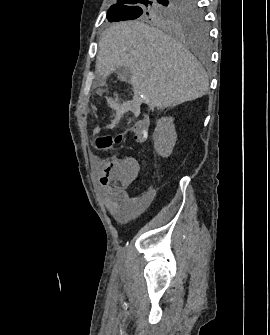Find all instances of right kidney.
<instances>
[{"instance_id": "right-kidney-1", "label": "right kidney", "mask_w": 270, "mask_h": 335, "mask_svg": "<svg viewBox=\"0 0 270 335\" xmlns=\"http://www.w3.org/2000/svg\"><path fill=\"white\" fill-rule=\"evenodd\" d=\"M154 148L162 158H168L177 142V134L173 124V118H160L156 122V128L152 136Z\"/></svg>"}]
</instances>
